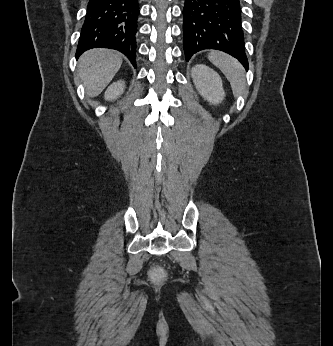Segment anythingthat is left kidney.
<instances>
[{
  "mask_svg": "<svg viewBox=\"0 0 333 346\" xmlns=\"http://www.w3.org/2000/svg\"><path fill=\"white\" fill-rule=\"evenodd\" d=\"M191 75L200 95L213 105L221 103L225 97L219 74L210 67L197 64L192 67Z\"/></svg>",
  "mask_w": 333,
  "mask_h": 346,
  "instance_id": "1",
  "label": "left kidney"
}]
</instances>
